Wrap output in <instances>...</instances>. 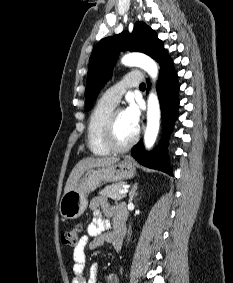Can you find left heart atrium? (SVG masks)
Listing matches in <instances>:
<instances>
[{"label": "left heart atrium", "instance_id": "1", "mask_svg": "<svg viewBox=\"0 0 233 283\" xmlns=\"http://www.w3.org/2000/svg\"><path fill=\"white\" fill-rule=\"evenodd\" d=\"M124 113L132 126L138 129L141 112L137 102L130 99Z\"/></svg>", "mask_w": 233, "mask_h": 283}]
</instances>
